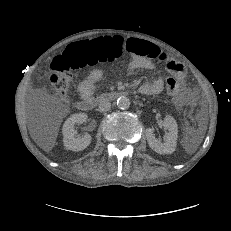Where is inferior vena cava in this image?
Here are the masks:
<instances>
[{"mask_svg": "<svg viewBox=\"0 0 231 231\" xmlns=\"http://www.w3.org/2000/svg\"><path fill=\"white\" fill-rule=\"evenodd\" d=\"M98 108L100 112H106L111 108V103L108 100H102Z\"/></svg>", "mask_w": 231, "mask_h": 231, "instance_id": "inferior-vena-cava-1", "label": "inferior vena cava"}]
</instances>
